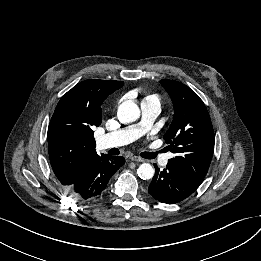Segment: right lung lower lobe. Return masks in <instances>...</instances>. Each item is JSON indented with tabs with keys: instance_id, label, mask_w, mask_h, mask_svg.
<instances>
[{
	"instance_id": "obj_1",
	"label": "right lung lower lobe",
	"mask_w": 261,
	"mask_h": 261,
	"mask_svg": "<svg viewBox=\"0 0 261 261\" xmlns=\"http://www.w3.org/2000/svg\"><path fill=\"white\" fill-rule=\"evenodd\" d=\"M125 163L122 156L107 154L95 155L75 182L67 186L68 191L78 200H92L99 197L106 188L110 178Z\"/></svg>"
}]
</instances>
